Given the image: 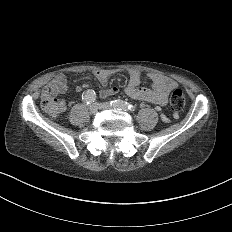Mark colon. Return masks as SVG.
<instances>
[{
	"label": "colon",
	"instance_id": "5ec220e1",
	"mask_svg": "<svg viewBox=\"0 0 232 232\" xmlns=\"http://www.w3.org/2000/svg\"><path fill=\"white\" fill-rule=\"evenodd\" d=\"M170 113H183V108H186L184 90L173 88L169 92ZM57 96L42 98L41 105L45 106L48 113H62V106L57 105ZM52 119H57V114H52Z\"/></svg>",
	"mask_w": 232,
	"mask_h": 232
}]
</instances>
